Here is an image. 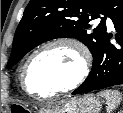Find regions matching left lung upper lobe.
<instances>
[{
  "label": "left lung upper lobe",
  "mask_w": 123,
  "mask_h": 113,
  "mask_svg": "<svg viewBox=\"0 0 123 113\" xmlns=\"http://www.w3.org/2000/svg\"><path fill=\"white\" fill-rule=\"evenodd\" d=\"M110 0H31L16 29L7 64L11 68L41 43L59 38H76L92 55L106 33V9ZM104 17L96 28L90 21Z\"/></svg>",
  "instance_id": "1"
}]
</instances>
